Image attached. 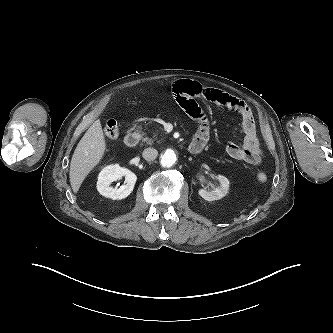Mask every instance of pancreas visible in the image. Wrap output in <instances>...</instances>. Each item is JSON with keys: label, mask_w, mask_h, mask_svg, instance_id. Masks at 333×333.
<instances>
[{"label": "pancreas", "mask_w": 333, "mask_h": 333, "mask_svg": "<svg viewBox=\"0 0 333 333\" xmlns=\"http://www.w3.org/2000/svg\"><path fill=\"white\" fill-rule=\"evenodd\" d=\"M141 129L142 128L140 126L137 127V131H141ZM156 136L157 135L154 133L153 138H155ZM153 138L145 137V138L142 139V141L146 142V144H148V145H151L153 143V141H154Z\"/></svg>", "instance_id": "pancreas-1"}]
</instances>
